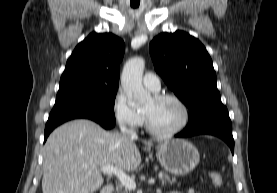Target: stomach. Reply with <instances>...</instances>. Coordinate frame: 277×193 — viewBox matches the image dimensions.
<instances>
[{
  "label": "stomach",
  "mask_w": 277,
  "mask_h": 193,
  "mask_svg": "<svg viewBox=\"0 0 277 193\" xmlns=\"http://www.w3.org/2000/svg\"><path fill=\"white\" fill-rule=\"evenodd\" d=\"M161 166L174 175H186L199 163L197 148L184 139L165 140L157 146Z\"/></svg>",
  "instance_id": "1"
}]
</instances>
